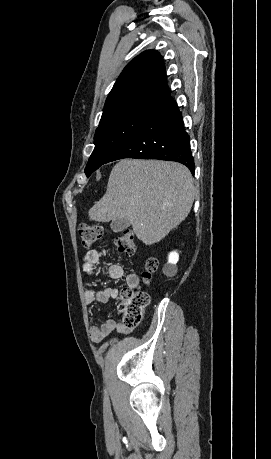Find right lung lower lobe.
Here are the masks:
<instances>
[{"instance_id":"right-lung-lower-lobe-1","label":"right lung lower lobe","mask_w":271,"mask_h":459,"mask_svg":"<svg viewBox=\"0 0 271 459\" xmlns=\"http://www.w3.org/2000/svg\"><path fill=\"white\" fill-rule=\"evenodd\" d=\"M123 158L176 161L194 174L190 137L175 101L136 130L106 163Z\"/></svg>"}]
</instances>
